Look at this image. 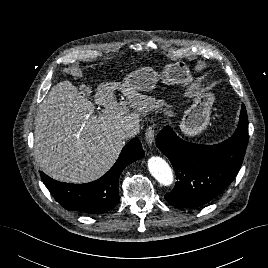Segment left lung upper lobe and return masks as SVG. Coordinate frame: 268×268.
Segmentation results:
<instances>
[{
	"label": "left lung upper lobe",
	"mask_w": 268,
	"mask_h": 268,
	"mask_svg": "<svg viewBox=\"0 0 268 268\" xmlns=\"http://www.w3.org/2000/svg\"><path fill=\"white\" fill-rule=\"evenodd\" d=\"M244 112H245V113H243V111H241L239 123H240L243 119L247 122V114H246V111H244Z\"/></svg>",
	"instance_id": "left-lung-upper-lobe-1"
}]
</instances>
